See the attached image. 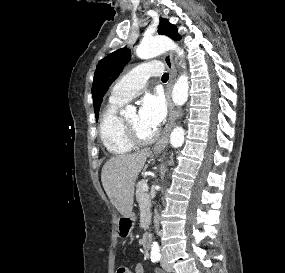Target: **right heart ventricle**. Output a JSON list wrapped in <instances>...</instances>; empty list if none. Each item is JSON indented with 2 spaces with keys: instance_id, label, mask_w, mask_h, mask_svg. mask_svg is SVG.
<instances>
[{
  "instance_id": "obj_1",
  "label": "right heart ventricle",
  "mask_w": 285,
  "mask_h": 273,
  "mask_svg": "<svg viewBox=\"0 0 285 273\" xmlns=\"http://www.w3.org/2000/svg\"><path fill=\"white\" fill-rule=\"evenodd\" d=\"M123 102H111L103 110L99 120V137L103 146L112 154L123 155L131 152L135 144L125 136L118 109Z\"/></svg>"
}]
</instances>
